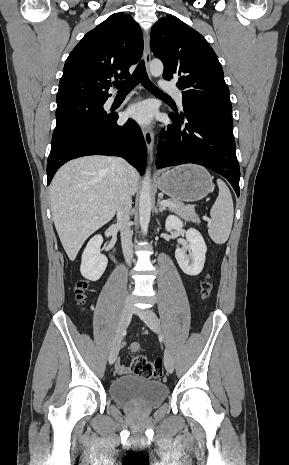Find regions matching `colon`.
I'll list each match as a JSON object with an SVG mask.
<instances>
[{
  "label": "colon",
  "instance_id": "colon-1",
  "mask_svg": "<svg viewBox=\"0 0 289 465\" xmlns=\"http://www.w3.org/2000/svg\"><path fill=\"white\" fill-rule=\"evenodd\" d=\"M88 283L85 280H79L75 285L76 298L80 303L84 302V294L87 290ZM212 291V282L207 276L201 283V297L207 299ZM132 353L136 354L140 350L138 343H133L130 347ZM132 369L136 375L147 379H158L162 376V360L157 358L153 361L148 360L142 355H135L132 360Z\"/></svg>",
  "mask_w": 289,
  "mask_h": 465
}]
</instances>
